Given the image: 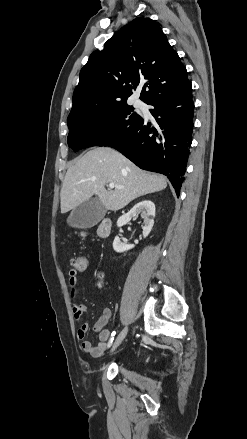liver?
<instances>
[{
    "label": "liver",
    "instance_id": "obj_1",
    "mask_svg": "<svg viewBox=\"0 0 247 439\" xmlns=\"http://www.w3.org/2000/svg\"><path fill=\"white\" fill-rule=\"evenodd\" d=\"M114 183L122 189L106 190ZM164 176L143 171L109 147L94 148L78 158L67 170L61 189V213L64 214L96 195L112 211L124 208L132 200L164 190Z\"/></svg>",
    "mask_w": 247,
    "mask_h": 439
}]
</instances>
